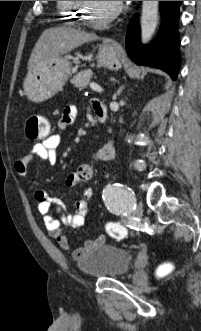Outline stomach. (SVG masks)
<instances>
[{
	"instance_id": "stomach-1",
	"label": "stomach",
	"mask_w": 201,
	"mask_h": 331,
	"mask_svg": "<svg viewBox=\"0 0 201 331\" xmlns=\"http://www.w3.org/2000/svg\"><path fill=\"white\" fill-rule=\"evenodd\" d=\"M99 66L118 70L122 66V54L116 47L102 44L96 56ZM78 63V59L73 60ZM74 72L68 57H57L40 67L35 72L28 73L24 81L26 95L33 102H43L62 90L68 78Z\"/></svg>"
}]
</instances>
